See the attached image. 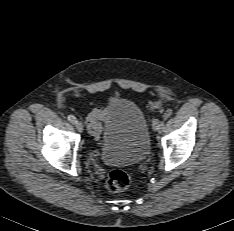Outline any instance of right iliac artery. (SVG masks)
<instances>
[{
	"label": "right iliac artery",
	"mask_w": 234,
	"mask_h": 231,
	"mask_svg": "<svg viewBox=\"0 0 234 231\" xmlns=\"http://www.w3.org/2000/svg\"><path fill=\"white\" fill-rule=\"evenodd\" d=\"M67 119L72 123L75 124L77 122L75 116L73 115H68Z\"/></svg>",
	"instance_id": "82829eb1"
}]
</instances>
